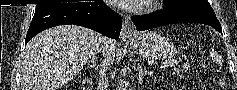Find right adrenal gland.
I'll use <instances>...</instances> for the list:
<instances>
[{"mask_svg": "<svg viewBox=\"0 0 237 90\" xmlns=\"http://www.w3.org/2000/svg\"><path fill=\"white\" fill-rule=\"evenodd\" d=\"M91 70H96V66H95L94 62H92ZM84 82H86V80H84ZM87 82H89V84H90V82H92V76H91V78H88Z\"/></svg>", "mask_w": 237, "mask_h": 90, "instance_id": "right-adrenal-gland-1", "label": "right adrenal gland"}]
</instances>
